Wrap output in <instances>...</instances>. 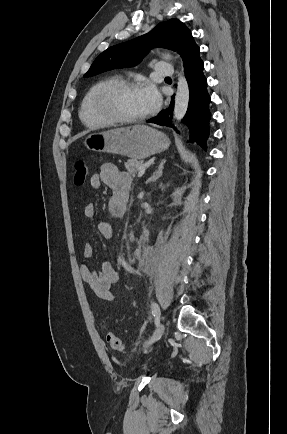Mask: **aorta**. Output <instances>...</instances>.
<instances>
[{
    "mask_svg": "<svg viewBox=\"0 0 287 434\" xmlns=\"http://www.w3.org/2000/svg\"><path fill=\"white\" fill-rule=\"evenodd\" d=\"M165 58L171 59V55L165 54ZM189 103V87L185 78L183 68L178 74L177 91L174 104V118L181 121L186 114Z\"/></svg>",
    "mask_w": 287,
    "mask_h": 434,
    "instance_id": "obj_1",
    "label": "aorta"
}]
</instances>
